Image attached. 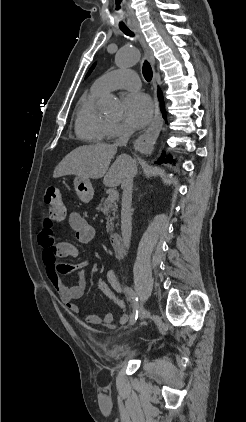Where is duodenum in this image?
<instances>
[{
	"mask_svg": "<svg viewBox=\"0 0 246 422\" xmlns=\"http://www.w3.org/2000/svg\"><path fill=\"white\" fill-rule=\"evenodd\" d=\"M110 244L112 246V249L116 255V257L121 258L124 255V246L122 241V236L120 233H112L110 235Z\"/></svg>",
	"mask_w": 246,
	"mask_h": 422,
	"instance_id": "duodenum-1",
	"label": "duodenum"
}]
</instances>
